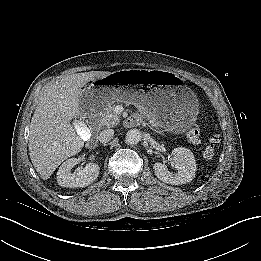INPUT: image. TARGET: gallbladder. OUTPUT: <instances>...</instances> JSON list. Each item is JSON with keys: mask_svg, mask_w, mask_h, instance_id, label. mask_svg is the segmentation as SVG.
Returning a JSON list of instances; mask_svg holds the SVG:
<instances>
[{"mask_svg": "<svg viewBox=\"0 0 261 261\" xmlns=\"http://www.w3.org/2000/svg\"><path fill=\"white\" fill-rule=\"evenodd\" d=\"M74 126H75L77 134L81 140L87 141L90 139L91 131L83 120L74 121Z\"/></svg>", "mask_w": 261, "mask_h": 261, "instance_id": "bac80fb5", "label": "gallbladder"}]
</instances>
